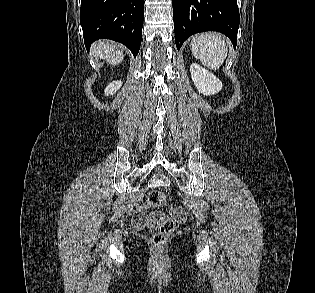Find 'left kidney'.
Wrapping results in <instances>:
<instances>
[{
  "mask_svg": "<svg viewBox=\"0 0 315 293\" xmlns=\"http://www.w3.org/2000/svg\"><path fill=\"white\" fill-rule=\"evenodd\" d=\"M190 72L194 85L206 96L218 93L223 87L222 82L215 75L197 63L191 64Z\"/></svg>",
  "mask_w": 315,
  "mask_h": 293,
  "instance_id": "5707ae66",
  "label": "left kidney"
}]
</instances>
